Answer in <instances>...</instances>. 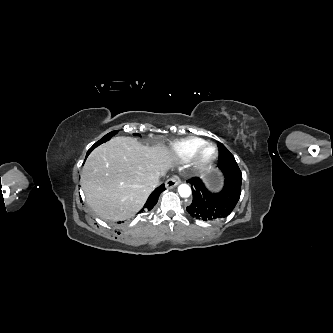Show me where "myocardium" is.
Returning a JSON list of instances; mask_svg holds the SVG:
<instances>
[{"label":"myocardium","mask_w":333,"mask_h":333,"mask_svg":"<svg viewBox=\"0 0 333 333\" xmlns=\"http://www.w3.org/2000/svg\"><path fill=\"white\" fill-rule=\"evenodd\" d=\"M213 149V154L209 157L205 156L207 149ZM218 158L217 147L213 143H205L198 151L194 154L191 159L192 166L195 170H203L212 165Z\"/></svg>","instance_id":"myocardium-1"}]
</instances>
